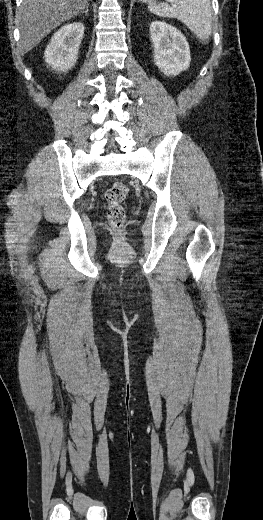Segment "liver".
Instances as JSON below:
<instances>
[{"instance_id":"obj_1","label":"liver","mask_w":263,"mask_h":520,"mask_svg":"<svg viewBox=\"0 0 263 520\" xmlns=\"http://www.w3.org/2000/svg\"><path fill=\"white\" fill-rule=\"evenodd\" d=\"M89 0H23L17 13L22 54L36 47L62 23L81 14Z\"/></svg>"}]
</instances>
